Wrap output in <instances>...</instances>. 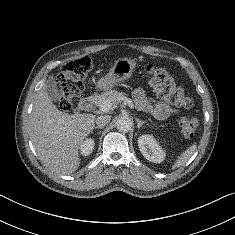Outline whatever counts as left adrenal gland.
<instances>
[{
  "mask_svg": "<svg viewBox=\"0 0 235 235\" xmlns=\"http://www.w3.org/2000/svg\"><path fill=\"white\" fill-rule=\"evenodd\" d=\"M135 121L137 122V127H138V129H140V127L143 125V124H145V121H142V120H139V119H135Z\"/></svg>",
  "mask_w": 235,
  "mask_h": 235,
  "instance_id": "obj_1",
  "label": "left adrenal gland"
}]
</instances>
